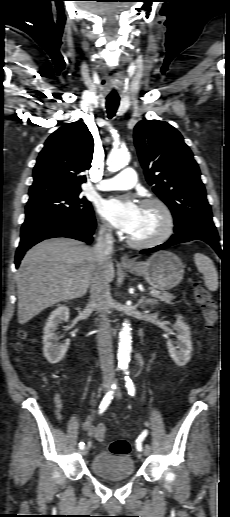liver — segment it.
<instances>
[{"label":"liver","instance_id":"1","mask_svg":"<svg viewBox=\"0 0 230 517\" xmlns=\"http://www.w3.org/2000/svg\"><path fill=\"white\" fill-rule=\"evenodd\" d=\"M94 248L68 238L44 240L25 254L16 273L18 322L27 323L47 307L84 296L96 271ZM114 279V266L107 269Z\"/></svg>","mask_w":230,"mask_h":517}]
</instances>
